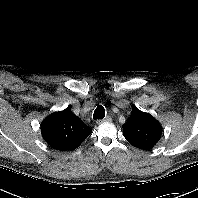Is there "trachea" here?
Here are the masks:
<instances>
[{"label":"trachea","instance_id":"obj_1","mask_svg":"<svg viewBox=\"0 0 198 198\" xmlns=\"http://www.w3.org/2000/svg\"><path fill=\"white\" fill-rule=\"evenodd\" d=\"M104 117H105V109L103 106L99 105L94 111L93 119L94 120L103 119Z\"/></svg>","mask_w":198,"mask_h":198}]
</instances>
